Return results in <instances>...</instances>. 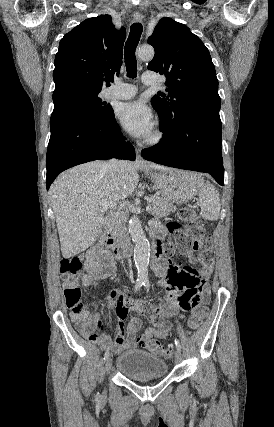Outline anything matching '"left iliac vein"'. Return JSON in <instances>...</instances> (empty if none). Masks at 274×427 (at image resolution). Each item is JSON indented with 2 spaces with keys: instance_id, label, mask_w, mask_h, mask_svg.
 Returning a JSON list of instances; mask_svg holds the SVG:
<instances>
[{
  "instance_id": "left-iliac-vein-1",
  "label": "left iliac vein",
  "mask_w": 274,
  "mask_h": 427,
  "mask_svg": "<svg viewBox=\"0 0 274 427\" xmlns=\"http://www.w3.org/2000/svg\"><path fill=\"white\" fill-rule=\"evenodd\" d=\"M181 360H182V354H181V351L177 348L175 350V363L179 364Z\"/></svg>"
}]
</instances>
